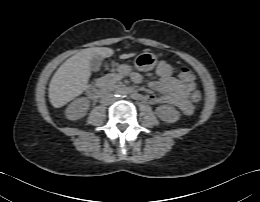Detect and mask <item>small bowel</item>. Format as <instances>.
<instances>
[{
    "label": "small bowel",
    "instance_id": "c3829d8e",
    "mask_svg": "<svg viewBox=\"0 0 260 202\" xmlns=\"http://www.w3.org/2000/svg\"><path fill=\"white\" fill-rule=\"evenodd\" d=\"M158 80L149 83L150 89L160 93V96L152 93L141 94L142 100L151 104L169 103L180 109L184 115H191L193 106L187 99L188 94L195 88V84L182 83L173 77L172 66L166 62L161 61L155 71ZM127 77L134 83H140L142 77L137 72H129L126 75L120 73H111L99 80L107 82H118L122 78ZM140 94V93H139Z\"/></svg>",
    "mask_w": 260,
    "mask_h": 202
}]
</instances>
